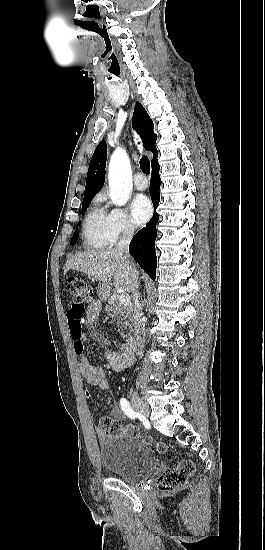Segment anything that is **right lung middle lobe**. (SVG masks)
Wrapping results in <instances>:
<instances>
[{"label":"right lung middle lobe","mask_w":265,"mask_h":550,"mask_svg":"<svg viewBox=\"0 0 265 550\" xmlns=\"http://www.w3.org/2000/svg\"><path fill=\"white\" fill-rule=\"evenodd\" d=\"M91 200H92V198L83 199V203H82V214L86 211V209H87V207H88V205H89V203H90ZM77 237H78V234H77V232H75V233L73 234L72 239H71L70 245H74V243H75Z\"/></svg>","instance_id":"right-lung-middle-lobe-1"}]
</instances>
